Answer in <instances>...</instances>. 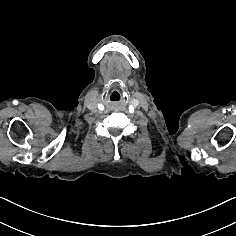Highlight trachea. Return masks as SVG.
I'll return each instance as SVG.
<instances>
[{"mask_svg": "<svg viewBox=\"0 0 236 236\" xmlns=\"http://www.w3.org/2000/svg\"><path fill=\"white\" fill-rule=\"evenodd\" d=\"M109 97H110L111 100H113L115 102H118L122 99L123 94H122L121 91L113 89V90L110 91Z\"/></svg>", "mask_w": 236, "mask_h": 236, "instance_id": "obj_1", "label": "trachea"}]
</instances>
